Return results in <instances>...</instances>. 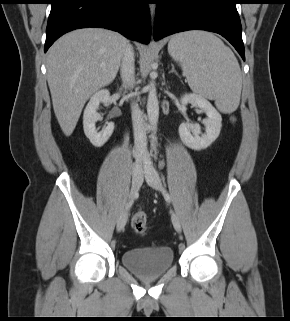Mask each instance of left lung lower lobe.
<instances>
[{"instance_id":"left-lung-lower-lobe-1","label":"left lung lower lobe","mask_w":290,"mask_h":321,"mask_svg":"<svg viewBox=\"0 0 290 321\" xmlns=\"http://www.w3.org/2000/svg\"><path fill=\"white\" fill-rule=\"evenodd\" d=\"M239 0H156L154 39L187 31L206 30L225 37L245 60Z\"/></svg>"}]
</instances>
